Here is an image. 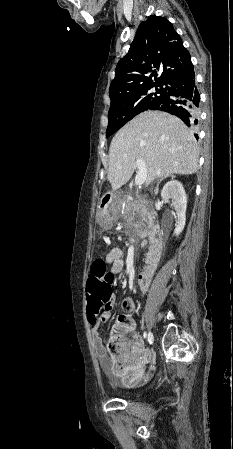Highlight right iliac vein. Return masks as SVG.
I'll return each instance as SVG.
<instances>
[{
    "instance_id": "obj_1",
    "label": "right iliac vein",
    "mask_w": 233,
    "mask_h": 449,
    "mask_svg": "<svg viewBox=\"0 0 233 449\" xmlns=\"http://www.w3.org/2000/svg\"><path fill=\"white\" fill-rule=\"evenodd\" d=\"M149 335H150L149 340L153 343L154 337H153L152 332H150ZM152 343H151V344H152Z\"/></svg>"
}]
</instances>
